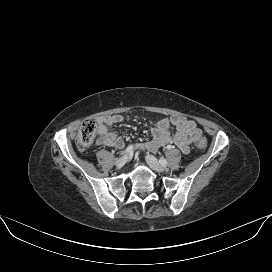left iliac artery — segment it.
<instances>
[{"label":"left iliac artery","instance_id":"1","mask_svg":"<svg viewBox=\"0 0 272 272\" xmlns=\"http://www.w3.org/2000/svg\"><path fill=\"white\" fill-rule=\"evenodd\" d=\"M159 162H160V164L163 165V166H166V165H167V160L164 159V158H160Z\"/></svg>","mask_w":272,"mask_h":272}]
</instances>
